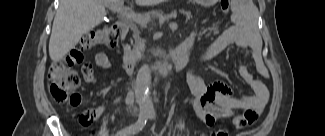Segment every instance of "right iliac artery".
Segmentation results:
<instances>
[{"mask_svg": "<svg viewBox=\"0 0 325 136\" xmlns=\"http://www.w3.org/2000/svg\"><path fill=\"white\" fill-rule=\"evenodd\" d=\"M148 119L147 114H140L137 122L117 132V136H131L137 134L145 126Z\"/></svg>", "mask_w": 325, "mask_h": 136, "instance_id": "obj_1", "label": "right iliac artery"}]
</instances>
